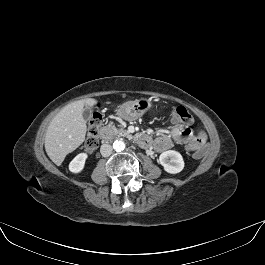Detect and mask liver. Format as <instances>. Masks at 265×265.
Segmentation results:
<instances>
[{
    "mask_svg": "<svg viewBox=\"0 0 265 265\" xmlns=\"http://www.w3.org/2000/svg\"><path fill=\"white\" fill-rule=\"evenodd\" d=\"M96 102L92 98L75 101L51 120L45 135V150L57 166L84 142L87 126L83 110L85 106L93 107Z\"/></svg>",
    "mask_w": 265,
    "mask_h": 265,
    "instance_id": "6515ba94",
    "label": "liver"
}]
</instances>
